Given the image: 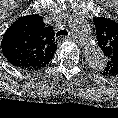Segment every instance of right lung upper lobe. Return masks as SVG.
I'll list each match as a JSON object with an SVG mask.
<instances>
[{"mask_svg": "<svg viewBox=\"0 0 118 118\" xmlns=\"http://www.w3.org/2000/svg\"><path fill=\"white\" fill-rule=\"evenodd\" d=\"M1 48L15 67L33 70L44 67L52 59L57 43L52 26L39 15H27L16 20L5 32Z\"/></svg>", "mask_w": 118, "mask_h": 118, "instance_id": "1", "label": "right lung upper lobe"}]
</instances>
